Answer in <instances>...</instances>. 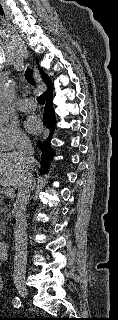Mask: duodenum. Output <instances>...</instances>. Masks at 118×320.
I'll list each match as a JSON object with an SVG mask.
<instances>
[{"label":"duodenum","instance_id":"410a0bca","mask_svg":"<svg viewBox=\"0 0 118 320\" xmlns=\"http://www.w3.org/2000/svg\"><path fill=\"white\" fill-rule=\"evenodd\" d=\"M9 244L6 241H0V259L8 257Z\"/></svg>","mask_w":118,"mask_h":320}]
</instances>
